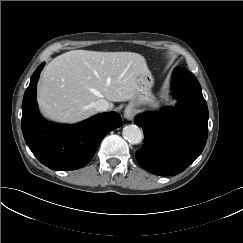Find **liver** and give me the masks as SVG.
<instances>
[{"label": "liver", "mask_w": 243, "mask_h": 243, "mask_svg": "<svg viewBox=\"0 0 243 243\" xmlns=\"http://www.w3.org/2000/svg\"><path fill=\"white\" fill-rule=\"evenodd\" d=\"M148 71L145 58L133 52L73 50L54 58L44 69L37 101L45 117L73 124L96 113L99 99L133 100L137 80Z\"/></svg>", "instance_id": "obj_1"}]
</instances>
